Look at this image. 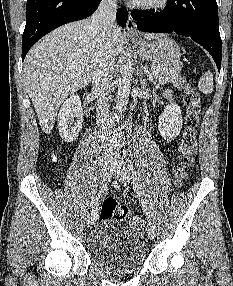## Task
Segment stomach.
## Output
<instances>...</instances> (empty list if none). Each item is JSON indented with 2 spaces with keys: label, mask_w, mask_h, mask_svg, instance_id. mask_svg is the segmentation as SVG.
Segmentation results:
<instances>
[{
  "label": "stomach",
  "mask_w": 233,
  "mask_h": 286,
  "mask_svg": "<svg viewBox=\"0 0 233 286\" xmlns=\"http://www.w3.org/2000/svg\"><path fill=\"white\" fill-rule=\"evenodd\" d=\"M139 55L143 60L163 67H179L181 57L179 45L170 37L160 35L154 41L138 42Z\"/></svg>",
  "instance_id": "1"
}]
</instances>
